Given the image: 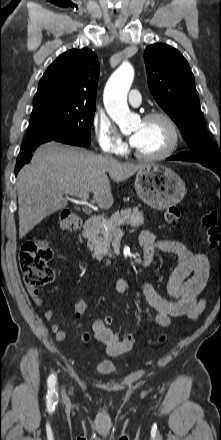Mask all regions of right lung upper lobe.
Masks as SVG:
<instances>
[{"mask_svg": "<svg viewBox=\"0 0 221 440\" xmlns=\"http://www.w3.org/2000/svg\"><path fill=\"white\" fill-rule=\"evenodd\" d=\"M99 77V61L87 48L72 49L59 56L39 81L34 103L95 105Z\"/></svg>", "mask_w": 221, "mask_h": 440, "instance_id": "cb5924a9", "label": "right lung upper lobe"}]
</instances>
